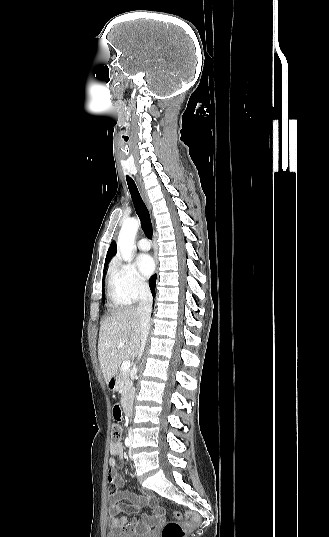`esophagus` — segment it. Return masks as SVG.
Returning a JSON list of instances; mask_svg holds the SVG:
<instances>
[{
	"label": "esophagus",
	"instance_id": "esophagus-1",
	"mask_svg": "<svg viewBox=\"0 0 329 537\" xmlns=\"http://www.w3.org/2000/svg\"><path fill=\"white\" fill-rule=\"evenodd\" d=\"M136 179H137V182H138V186H139V190H140V194L142 196V199L143 201L145 202L146 206L148 208H150V201H149V197H148V194H147V191L141 181V179L139 178V176H136ZM158 264L157 260H156V265Z\"/></svg>",
	"mask_w": 329,
	"mask_h": 537
}]
</instances>
